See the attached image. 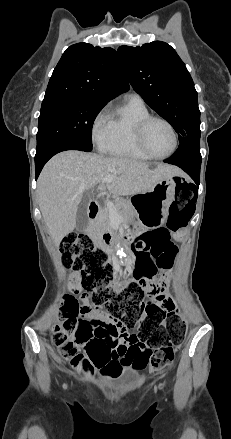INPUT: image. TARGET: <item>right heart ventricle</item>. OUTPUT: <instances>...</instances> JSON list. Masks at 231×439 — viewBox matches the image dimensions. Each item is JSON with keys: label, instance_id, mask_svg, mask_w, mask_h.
<instances>
[{"label": "right heart ventricle", "instance_id": "e07e8e85", "mask_svg": "<svg viewBox=\"0 0 231 439\" xmlns=\"http://www.w3.org/2000/svg\"><path fill=\"white\" fill-rule=\"evenodd\" d=\"M143 101L129 99L122 107L109 116L108 134L100 150L106 154L147 161L151 158L138 146L136 130L139 123L150 116Z\"/></svg>", "mask_w": 231, "mask_h": 439}]
</instances>
